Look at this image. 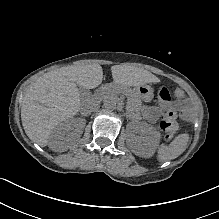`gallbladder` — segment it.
Returning <instances> with one entry per match:
<instances>
[{
    "label": "gallbladder",
    "mask_w": 219,
    "mask_h": 219,
    "mask_svg": "<svg viewBox=\"0 0 219 219\" xmlns=\"http://www.w3.org/2000/svg\"><path fill=\"white\" fill-rule=\"evenodd\" d=\"M88 94H89V91H88V90H86V89H84V90L80 89V95H81V96H87Z\"/></svg>",
    "instance_id": "obj_1"
}]
</instances>
